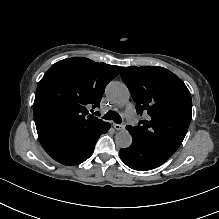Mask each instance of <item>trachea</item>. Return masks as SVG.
I'll use <instances>...</instances> for the list:
<instances>
[{"instance_id":"trachea-1","label":"trachea","mask_w":219,"mask_h":219,"mask_svg":"<svg viewBox=\"0 0 219 219\" xmlns=\"http://www.w3.org/2000/svg\"><path fill=\"white\" fill-rule=\"evenodd\" d=\"M99 115V114H98ZM104 119L106 120H113L115 123L117 124H121L122 122V119H121V116L115 112V111H108L104 116H103Z\"/></svg>"}]
</instances>
